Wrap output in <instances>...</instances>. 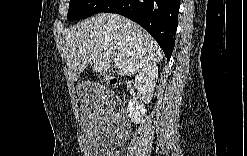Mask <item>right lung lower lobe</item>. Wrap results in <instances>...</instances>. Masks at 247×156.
<instances>
[{"label":"right lung lower lobe","instance_id":"right-lung-lower-lobe-1","mask_svg":"<svg viewBox=\"0 0 247 156\" xmlns=\"http://www.w3.org/2000/svg\"><path fill=\"white\" fill-rule=\"evenodd\" d=\"M179 0H107L98 10L123 15L146 29L169 60L178 26Z\"/></svg>","mask_w":247,"mask_h":156}]
</instances>
